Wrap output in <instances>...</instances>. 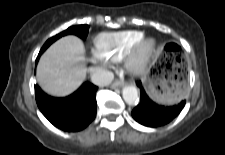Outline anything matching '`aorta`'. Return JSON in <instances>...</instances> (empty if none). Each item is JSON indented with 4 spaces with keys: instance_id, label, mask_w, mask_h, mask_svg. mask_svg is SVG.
<instances>
[{
    "instance_id": "762f6f07",
    "label": "aorta",
    "mask_w": 225,
    "mask_h": 155,
    "mask_svg": "<svg viewBox=\"0 0 225 155\" xmlns=\"http://www.w3.org/2000/svg\"><path fill=\"white\" fill-rule=\"evenodd\" d=\"M123 99L128 105H135L138 103L139 95L135 86H126L122 91Z\"/></svg>"
}]
</instances>
